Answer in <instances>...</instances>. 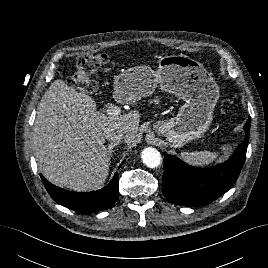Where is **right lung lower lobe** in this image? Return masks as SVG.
<instances>
[{
    "mask_svg": "<svg viewBox=\"0 0 268 268\" xmlns=\"http://www.w3.org/2000/svg\"><path fill=\"white\" fill-rule=\"evenodd\" d=\"M40 176L46 190L54 201L79 213L90 214L108 209L115 204L119 197V178L117 173L104 188L85 193L67 191L56 187L42 175Z\"/></svg>",
    "mask_w": 268,
    "mask_h": 268,
    "instance_id": "1",
    "label": "right lung lower lobe"
}]
</instances>
